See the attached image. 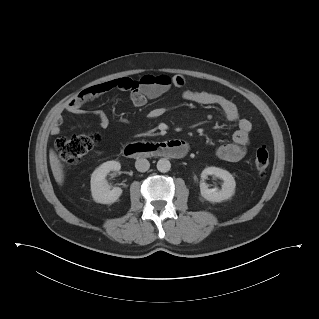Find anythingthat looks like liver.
Masks as SVG:
<instances>
[{
	"label": "liver",
	"mask_w": 319,
	"mask_h": 319,
	"mask_svg": "<svg viewBox=\"0 0 319 319\" xmlns=\"http://www.w3.org/2000/svg\"><path fill=\"white\" fill-rule=\"evenodd\" d=\"M49 160H50V166L51 170L53 173V176L55 178V181L59 184L62 185L64 182V171L62 168V164L60 160L58 159L57 154L53 149H50L49 152Z\"/></svg>",
	"instance_id": "liver-1"
}]
</instances>
